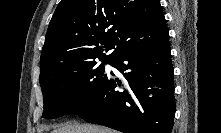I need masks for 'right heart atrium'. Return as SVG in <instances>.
<instances>
[{
  "label": "right heart atrium",
  "instance_id": "1",
  "mask_svg": "<svg viewBox=\"0 0 221 133\" xmlns=\"http://www.w3.org/2000/svg\"><path fill=\"white\" fill-rule=\"evenodd\" d=\"M86 91V85L84 82L80 81L76 87V94L78 96H82Z\"/></svg>",
  "mask_w": 221,
  "mask_h": 133
}]
</instances>
